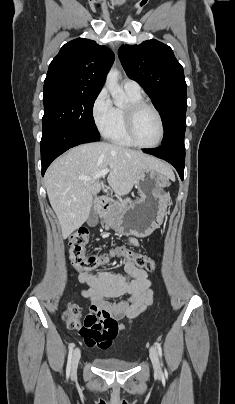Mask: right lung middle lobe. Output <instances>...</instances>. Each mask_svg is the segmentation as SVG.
<instances>
[{
	"instance_id": "1",
	"label": "right lung middle lobe",
	"mask_w": 235,
	"mask_h": 404,
	"mask_svg": "<svg viewBox=\"0 0 235 404\" xmlns=\"http://www.w3.org/2000/svg\"><path fill=\"white\" fill-rule=\"evenodd\" d=\"M97 96L59 85L44 87L43 133L71 127L100 137L93 118Z\"/></svg>"
}]
</instances>
